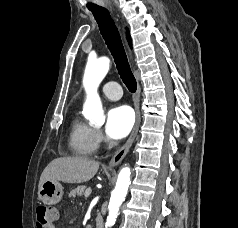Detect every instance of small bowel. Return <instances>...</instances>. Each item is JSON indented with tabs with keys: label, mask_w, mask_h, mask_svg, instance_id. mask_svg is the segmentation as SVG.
Returning <instances> with one entry per match:
<instances>
[{
	"label": "small bowel",
	"mask_w": 238,
	"mask_h": 228,
	"mask_svg": "<svg viewBox=\"0 0 238 228\" xmlns=\"http://www.w3.org/2000/svg\"><path fill=\"white\" fill-rule=\"evenodd\" d=\"M51 228H55V226H54V225H52V226H51Z\"/></svg>",
	"instance_id": "c3829d8e"
}]
</instances>
